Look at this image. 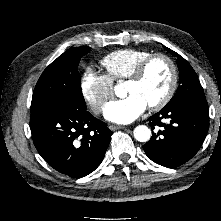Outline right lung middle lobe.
Wrapping results in <instances>:
<instances>
[{
    "label": "right lung middle lobe",
    "instance_id": "obj_1",
    "mask_svg": "<svg viewBox=\"0 0 221 221\" xmlns=\"http://www.w3.org/2000/svg\"><path fill=\"white\" fill-rule=\"evenodd\" d=\"M90 50V47L71 48L44 70L33 92L31 112L60 103L86 108L77 68L81 57Z\"/></svg>",
    "mask_w": 221,
    "mask_h": 221
}]
</instances>
